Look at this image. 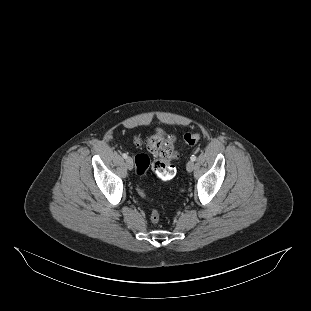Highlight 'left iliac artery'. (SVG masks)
Instances as JSON below:
<instances>
[{
  "label": "left iliac artery",
  "instance_id": "44dca946",
  "mask_svg": "<svg viewBox=\"0 0 311 311\" xmlns=\"http://www.w3.org/2000/svg\"><path fill=\"white\" fill-rule=\"evenodd\" d=\"M196 158H197V157H196L195 155H192V156L190 157L191 161H195Z\"/></svg>",
  "mask_w": 311,
  "mask_h": 311
}]
</instances>
